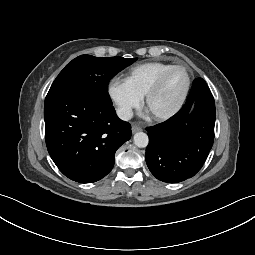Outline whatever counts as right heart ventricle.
Returning a JSON list of instances; mask_svg holds the SVG:
<instances>
[{
  "label": "right heart ventricle",
  "mask_w": 255,
  "mask_h": 255,
  "mask_svg": "<svg viewBox=\"0 0 255 255\" xmlns=\"http://www.w3.org/2000/svg\"><path fill=\"white\" fill-rule=\"evenodd\" d=\"M173 64L163 62H148L131 69L126 77L127 83L142 97L155 83L158 77Z\"/></svg>",
  "instance_id": "1"
}]
</instances>
